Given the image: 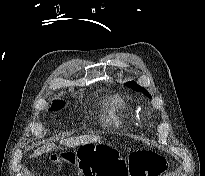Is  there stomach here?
Wrapping results in <instances>:
<instances>
[{"label":"stomach","mask_w":205,"mask_h":176,"mask_svg":"<svg viewBox=\"0 0 205 176\" xmlns=\"http://www.w3.org/2000/svg\"><path fill=\"white\" fill-rule=\"evenodd\" d=\"M100 144H92V146H90L89 144H85L83 145L81 148H83V150H91L92 148H94V150H96L97 148H99Z\"/></svg>","instance_id":"stomach-1"}]
</instances>
